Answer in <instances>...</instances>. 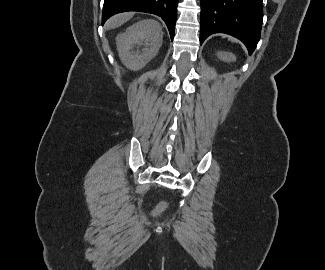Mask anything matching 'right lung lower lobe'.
I'll use <instances>...</instances> for the list:
<instances>
[{"instance_id":"1","label":"right lung lower lobe","mask_w":325,"mask_h":270,"mask_svg":"<svg viewBox=\"0 0 325 270\" xmlns=\"http://www.w3.org/2000/svg\"><path fill=\"white\" fill-rule=\"evenodd\" d=\"M178 0H104L102 22L125 11H141L160 16L166 23L171 39L174 37Z\"/></svg>"}]
</instances>
